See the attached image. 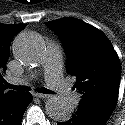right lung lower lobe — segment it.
I'll return each instance as SVG.
<instances>
[{"label":"right lung lower lobe","mask_w":125,"mask_h":125,"mask_svg":"<svg viewBox=\"0 0 125 125\" xmlns=\"http://www.w3.org/2000/svg\"><path fill=\"white\" fill-rule=\"evenodd\" d=\"M33 97L29 92L8 96L0 100V125H20L24 112Z\"/></svg>","instance_id":"right-lung-lower-lobe-1"}]
</instances>
